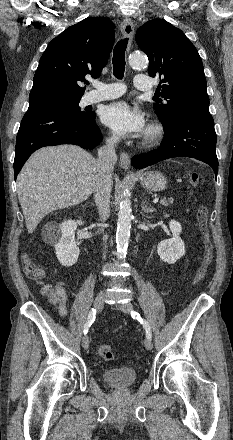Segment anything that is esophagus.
Listing matches in <instances>:
<instances>
[{"label":"esophagus","mask_w":233,"mask_h":440,"mask_svg":"<svg viewBox=\"0 0 233 440\" xmlns=\"http://www.w3.org/2000/svg\"><path fill=\"white\" fill-rule=\"evenodd\" d=\"M121 32L123 34V37L125 39H128L129 43H128V49L130 48V44H131V40L133 37V33H134V25L133 22L130 19H125L122 24H121ZM120 166L124 169V170H128L130 167V157L127 153L125 152H121L120 153Z\"/></svg>","instance_id":"esophagus-1"}]
</instances>
